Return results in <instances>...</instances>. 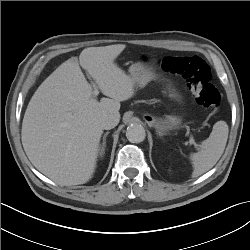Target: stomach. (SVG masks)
<instances>
[{
	"instance_id": "1",
	"label": "stomach",
	"mask_w": 250,
	"mask_h": 250,
	"mask_svg": "<svg viewBox=\"0 0 250 250\" xmlns=\"http://www.w3.org/2000/svg\"><path fill=\"white\" fill-rule=\"evenodd\" d=\"M129 73L135 86L141 88L155 78V73L152 67L144 63H135L131 65ZM169 96L176 100L180 99L179 94L176 92H169ZM147 116L149 123L156 128L159 135H163L166 131L176 128L181 124V119L177 116H167L164 120L156 119L151 115Z\"/></svg>"
}]
</instances>
